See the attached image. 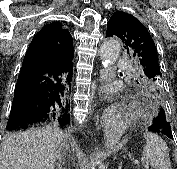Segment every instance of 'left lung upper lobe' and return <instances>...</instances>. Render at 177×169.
Listing matches in <instances>:
<instances>
[{
	"mask_svg": "<svg viewBox=\"0 0 177 169\" xmlns=\"http://www.w3.org/2000/svg\"><path fill=\"white\" fill-rule=\"evenodd\" d=\"M118 36L129 55L136 58L143 70L144 84L152 94L160 96L162 69L155 43L147 28L126 12H115L107 23L106 37Z\"/></svg>",
	"mask_w": 177,
	"mask_h": 169,
	"instance_id": "left-lung-upper-lobe-1",
	"label": "left lung upper lobe"
}]
</instances>
